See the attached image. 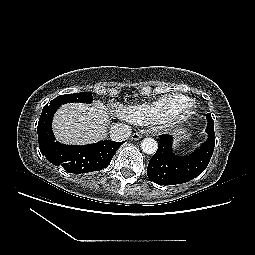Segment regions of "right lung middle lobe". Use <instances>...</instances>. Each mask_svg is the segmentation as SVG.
Returning <instances> with one entry per match:
<instances>
[{"instance_id":"1","label":"right lung middle lobe","mask_w":255,"mask_h":255,"mask_svg":"<svg viewBox=\"0 0 255 255\" xmlns=\"http://www.w3.org/2000/svg\"><path fill=\"white\" fill-rule=\"evenodd\" d=\"M93 96L90 92H81L67 95H59L53 99L49 105H45L39 119L38 128L48 127L51 122L55 111L65 103L81 102L91 103Z\"/></svg>"}]
</instances>
